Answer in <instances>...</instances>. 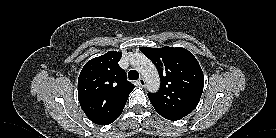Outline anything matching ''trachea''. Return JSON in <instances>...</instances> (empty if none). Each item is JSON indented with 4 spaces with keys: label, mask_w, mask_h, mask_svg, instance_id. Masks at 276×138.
Here are the masks:
<instances>
[{
    "label": "trachea",
    "mask_w": 276,
    "mask_h": 138,
    "mask_svg": "<svg viewBox=\"0 0 276 138\" xmlns=\"http://www.w3.org/2000/svg\"><path fill=\"white\" fill-rule=\"evenodd\" d=\"M128 78L130 80H137L139 78V73L135 70H130L128 73Z\"/></svg>",
    "instance_id": "obj_1"
}]
</instances>
